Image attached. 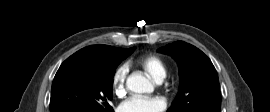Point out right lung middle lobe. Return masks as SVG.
Instances as JSON below:
<instances>
[{
	"label": "right lung middle lobe",
	"instance_id": "dd1d6c3e",
	"mask_svg": "<svg viewBox=\"0 0 270 112\" xmlns=\"http://www.w3.org/2000/svg\"><path fill=\"white\" fill-rule=\"evenodd\" d=\"M134 50L135 47L117 48L115 53L99 60L66 59L52 83L50 112H113L109 102L112 99L115 69Z\"/></svg>",
	"mask_w": 270,
	"mask_h": 112
}]
</instances>
